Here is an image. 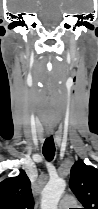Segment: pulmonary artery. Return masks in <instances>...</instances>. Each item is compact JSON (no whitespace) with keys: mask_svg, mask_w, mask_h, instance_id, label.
<instances>
[{"mask_svg":"<svg viewBox=\"0 0 98 209\" xmlns=\"http://www.w3.org/2000/svg\"><path fill=\"white\" fill-rule=\"evenodd\" d=\"M76 200L72 196H64L59 204V209H70L75 206Z\"/></svg>","mask_w":98,"mask_h":209,"instance_id":"e3ab8cb5","label":"pulmonary artery"}]
</instances>
